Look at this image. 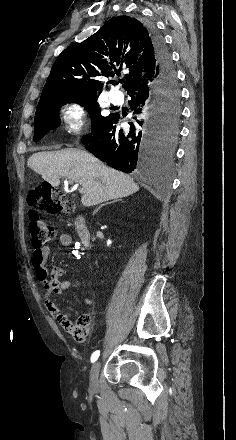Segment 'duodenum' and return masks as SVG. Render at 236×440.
Masks as SVG:
<instances>
[{
  "instance_id": "duodenum-1",
  "label": "duodenum",
  "mask_w": 236,
  "mask_h": 440,
  "mask_svg": "<svg viewBox=\"0 0 236 440\" xmlns=\"http://www.w3.org/2000/svg\"><path fill=\"white\" fill-rule=\"evenodd\" d=\"M74 226L77 236L81 240L82 244L86 247H89L91 245V234L84 217L80 215L77 216L74 221Z\"/></svg>"
}]
</instances>
